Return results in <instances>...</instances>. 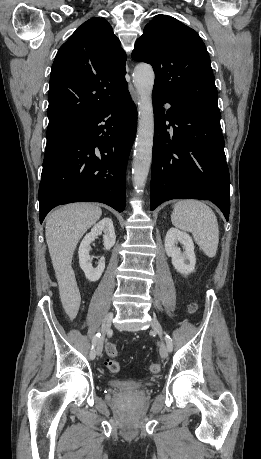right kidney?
Listing matches in <instances>:
<instances>
[{
  "label": "right kidney",
  "instance_id": "obj_1",
  "mask_svg": "<svg viewBox=\"0 0 261 459\" xmlns=\"http://www.w3.org/2000/svg\"><path fill=\"white\" fill-rule=\"evenodd\" d=\"M102 233L104 234V248L110 250L116 241L113 222L110 218H104L95 224L91 232L86 234L79 246L78 256L80 267L84 271L86 278L92 282L97 281L105 269L104 257L99 260L97 267L94 268L92 266V259L89 255L91 249L90 244Z\"/></svg>",
  "mask_w": 261,
  "mask_h": 459
}]
</instances>
